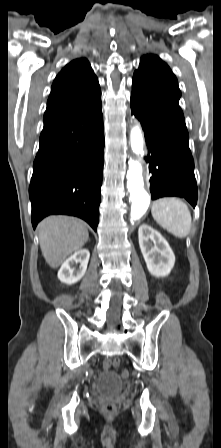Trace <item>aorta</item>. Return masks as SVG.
<instances>
[{
  "instance_id": "aorta-1",
  "label": "aorta",
  "mask_w": 221,
  "mask_h": 448,
  "mask_svg": "<svg viewBox=\"0 0 221 448\" xmlns=\"http://www.w3.org/2000/svg\"><path fill=\"white\" fill-rule=\"evenodd\" d=\"M130 144L136 155L143 154L144 138L140 125H136L130 132ZM127 172V189L131 199V218L132 220L140 219L150 204V196L144 189V181L142 176V166L137 161L128 162Z\"/></svg>"
}]
</instances>
